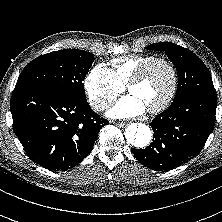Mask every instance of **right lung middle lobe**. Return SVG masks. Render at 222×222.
Wrapping results in <instances>:
<instances>
[{
  "label": "right lung middle lobe",
  "mask_w": 222,
  "mask_h": 222,
  "mask_svg": "<svg viewBox=\"0 0 222 222\" xmlns=\"http://www.w3.org/2000/svg\"><path fill=\"white\" fill-rule=\"evenodd\" d=\"M93 62L94 55L84 50L50 52L23 69L15 88L41 87L86 99L83 80Z\"/></svg>",
  "instance_id": "right-lung-middle-lobe-1"
}]
</instances>
